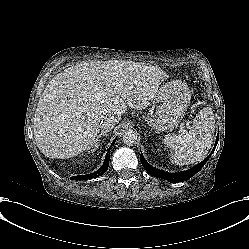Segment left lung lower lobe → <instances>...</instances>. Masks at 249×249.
<instances>
[{"label":"left lung lower lobe","mask_w":249,"mask_h":249,"mask_svg":"<svg viewBox=\"0 0 249 249\" xmlns=\"http://www.w3.org/2000/svg\"><path fill=\"white\" fill-rule=\"evenodd\" d=\"M218 139H219V136H217L214 149L212 150L211 154L205 160H203L201 163L197 164L195 167H193V168H191V169H189L187 171H184V172L168 173V172L156 169V168L150 166L146 162V160L144 159L142 153H141V156H140V160H141V163H142L143 167L146 169V171L150 175H152L154 177H157V178L167 180L169 182H182V181L187 180L190 177L194 176L205 165V163L207 162L209 157L214 152V150L216 148V145L218 143Z\"/></svg>","instance_id":"1"}]
</instances>
